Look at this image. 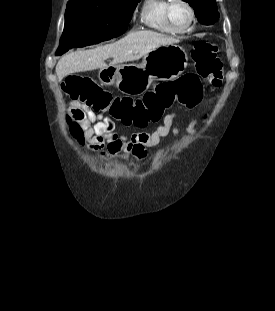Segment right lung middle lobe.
I'll return each mask as SVG.
<instances>
[{"instance_id":"right-lung-middle-lobe-1","label":"right lung middle lobe","mask_w":275,"mask_h":311,"mask_svg":"<svg viewBox=\"0 0 275 311\" xmlns=\"http://www.w3.org/2000/svg\"><path fill=\"white\" fill-rule=\"evenodd\" d=\"M140 0L69 1L57 55L115 37L126 28Z\"/></svg>"}]
</instances>
